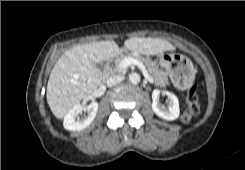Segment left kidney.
Returning <instances> with one entry per match:
<instances>
[{"label": "left kidney", "mask_w": 245, "mask_h": 170, "mask_svg": "<svg viewBox=\"0 0 245 170\" xmlns=\"http://www.w3.org/2000/svg\"><path fill=\"white\" fill-rule=\"evenodd\" d=\"M160 90L155 89L152 93V110L154 113L162 119L173 121L179 117V101L176 95L171 92L163 91L162 93L167 95L169 99L168 107L162 106L158 102Z\"/></svg>", "instance_id": "left-kidney-1"}]
</instances>
